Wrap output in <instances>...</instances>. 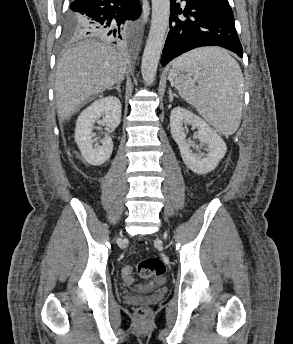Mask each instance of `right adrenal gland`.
I'll list each match as a JSON object with an SVG mask.
<instances>
[{
	"label": "right adrenal gland",
	"instance_id": "2a0ac1e0",
	"mask_svg": "<svg viewBox=\"0 0 293 344\" xmlns=\"http://www.w3.org/2000/svg\"><path fill=\"white\" fill-rule=\"evenodd\" d=\"M120 84H121V81L118 82L115 87L110 88V90L116 89L119 93H121Z\"/></svg>",
	"mask_w": 293,
	"mask_h": 344
}]
</instances>
